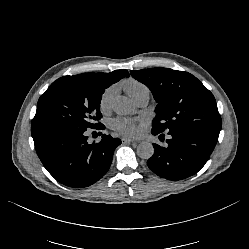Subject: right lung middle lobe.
<instances>
[{
	"label": "right lung middle lobe",
	"instance_id": "1",
	"mask_svg": "<svg viewBox=\"0 0 249 249\" xmlns=\"http://www.w3.org/2000/svg\"><path fill=\"white\" fill-rule=\"evenodd\" d=\"M110 85L91 73L57 79L40 97L31 125L95 128L102 117V94Z\"/></svg>",
	"mask_w": 249,
	"mask_h": 249
}]
</instances>
